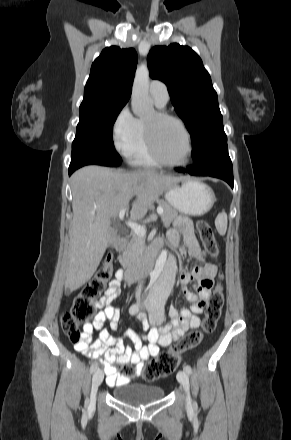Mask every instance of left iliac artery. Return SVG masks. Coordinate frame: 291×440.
<instances>
[{"label": "left iliac artery", "mask_w": 291, "mask_h": 440, "mask_svg": "<svg viewBox=\"0 0 291 440\" xmlns=\"http://www.w3.org/2000/svg\"><path fill=\"white\" fill-rule=\"evenodd\" d=\"M184 370H185L188 374H191V373H192V368H191V366L188 365V364H186V365L184 366Z\"/></svg>", "instance_id": "left-iliac-artery-1"}]
</instances>
